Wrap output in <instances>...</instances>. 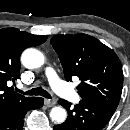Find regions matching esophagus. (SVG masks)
<instances>
[{"label":"esophagus","instance_id":"34e87169","mask_svg":"<svg viewBox=\"0 0 130 130\" xmlns=\"http://www.w3.org/2000/svg\"><path fill=\"white\" fill-rule=\"evenodd\" d=\"M44 104L47 107H53L56 104V101L55 100H51V99H45L44 100Z\"/></svg>","mask_w":130,"mask_h":130}]
</instances>
